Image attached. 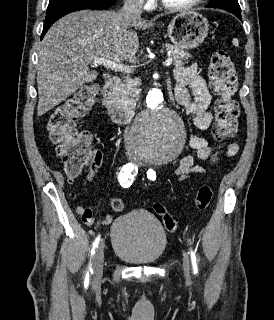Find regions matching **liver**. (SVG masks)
<instances>
[{
    "mask_svg": "<svg viewBox=\"0 0 274 320\" xmlns=\"http://www.w3.org/2000/svg\"><path fill=\"white\" fill-rule=\"evenodd\" d=\"M154 20L135 18L122 24L119 12L81 10L55 22L38 50L37 116H43L83 84L97 80L88 66L93 58H106L117 64L132 60L138 52V36L133 30H146Z\"/></svg>",
    "mask_w": 274,
    "mask_h": 320,
    "instance_id": "1",
    "label": "liver"
}]
</instances>
